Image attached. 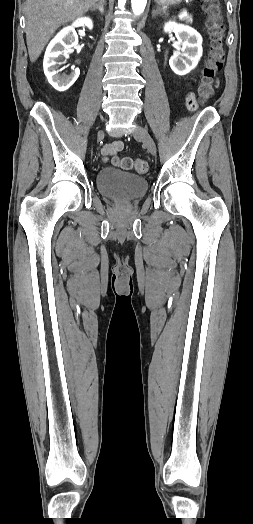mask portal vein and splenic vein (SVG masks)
<instances>
[{
	"mask_svg": "<svg viewBox=\"0 0 253 524\" xmlns=\"http://www.w3.org/2000/svg\"><path fill=\"white\" fill-rule=\"evenodd\" d=\"M187 16H188L187 10L184 9V10H182V11L180 12V14H179V19L185 18V17H187Z\"/></svg>",
	"mask_w": 253,
	"mask_h": 524,
	"instance_id": "18ae733b",
	"label": "portal vein and splenic vein"
}]
</instances>
